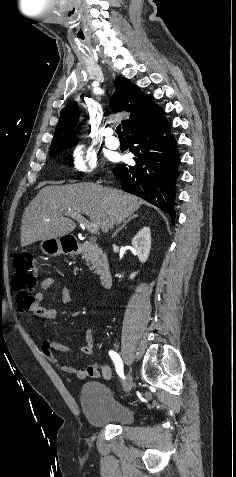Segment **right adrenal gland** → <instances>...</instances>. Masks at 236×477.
<instances>
[{
  "mask_svg": "<svg viewBox=\"0 0 236 477\" xmlns=\"http://www.w3.org/2000/svg\"><path fill=\"white\" fill-rule=\"evenodd\" d=\"M137 217H138V215H137V214H134V215L130 216L127 220H125V221L122 223V225L120 226V228H118V229L116 230V232L113 234V237H115V236L118 234V232H120L132 219L137 218Z\"/></svg>",
  "mask_w": 236,
  "mask_h": 477,
  "instance_id": "1",
  "label": "right adrenal gland"
}]
</instances>
